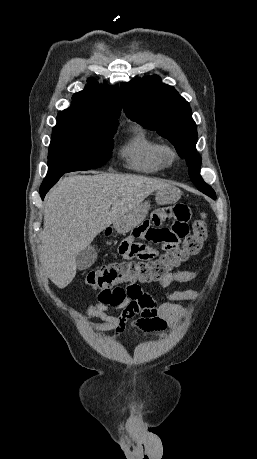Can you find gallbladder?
<instances>
[{
    "mask_svg": "<svg viewBox=\"0 0 257 459\" xmlns=\"http://www.w3.org/2000/svg\"><path fill=\"white\" fill-rule=\"evenodd\" d=\"M97 258V251L93 246H88L76 255V266L79 270L89 268Z\"/></svg>",
    "mask_w": 257,
    "mask_h": 459,
    "instance_id": "1",
    "label": "gallbladder"
}]
</instances>
